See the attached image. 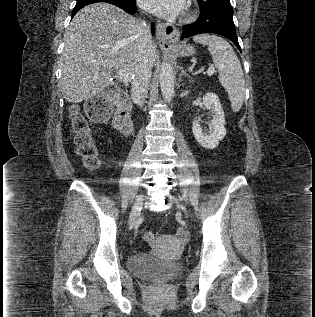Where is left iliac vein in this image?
<instances>
[{"instance_id":"4c4485c4","label":"left iliac vein","mask_w":315,"mask_h":317,"mask_svg":"<svg viewBox=\"0 0 315 317\" xmlns=\"http://www.w3.org/2000/svg\"><path fill=\"white\" fill-rule=\"evenodd\" d=\"M176 202H177V204H178V207H179L182 211L186 212V208H185L183 205L179 204L177 200H176Z\"/></svg>"}]
</instances>
